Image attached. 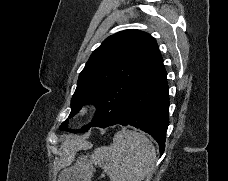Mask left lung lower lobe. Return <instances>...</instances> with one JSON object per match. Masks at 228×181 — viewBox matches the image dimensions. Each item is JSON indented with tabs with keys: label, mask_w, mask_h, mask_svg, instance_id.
<instances>
[{
	"label": "left lung lower lobe",
	"mask_w": 228,
	"mask_h": 181,
	"mask_svg": "<svg viewBox=\"0 0 228 181\" xmlns=\"http://www.w3.org/2000/svg\"><path fill=\"white\" fill-rule=\"evenodd\" d=\"M166 76L161 58L138 82L122 118L113 124L131 125L147 132L157 141L160 155L165 149L169 125V87Z\"/></svg>",
	"instance_id": "left-lung-lower-lobe-1"
}]
</instances>
